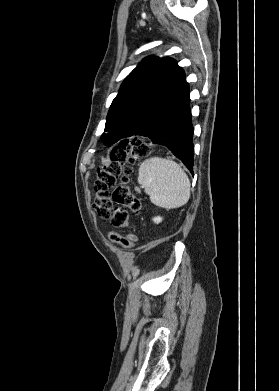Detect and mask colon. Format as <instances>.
Listing matches in <instances>:
<instances>
[{
	"label": "colon",
	"instance_id": "colon-1",
	"mask_svg": "<svg viewBox=\"0 0 279 391\" xmlns=\"http://www.w3.org/2000/svg\"><path fill=\"white\" fill-rule=\"evenodd\" d=\"M148 154L149 147L144 141L125 140L112 150L108 162L97 170L93 207L101 219H110L115 228L128 227V211L135 215L142 211L140 199L130 191L128 175ZM109 238L124 248L134 246L132 240L117 233H110Z\"/></svg>",
	"mask_w": 279,
	"mask_h": 391
}]
</instances>
